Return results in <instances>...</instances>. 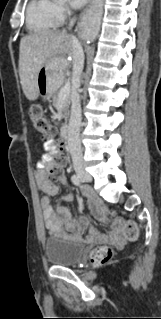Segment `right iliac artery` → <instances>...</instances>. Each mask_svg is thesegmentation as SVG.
<instances>
[{"label": "right iliac artery", "mask_w": 161, "mask_h": 319, "mask_svg": "<svg viewBox=\"0 0 161 319\" xmlns=\"http://www.w3.org/2000/svg\"><path fill=\"white\" fill-rule=\"evenodd\" d=\"M71 180L73 182L74 185L79 186L81 184V179L79 176L77 175H72Z\"/></svg>", "instance_id": "obj_1"}]
</instances>
